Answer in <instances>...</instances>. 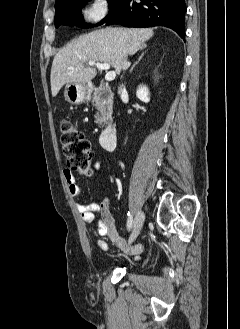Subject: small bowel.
Instances as JSON below:
<instances>
[{
  "label": "small bowel",
  "instance_id": "c3829d8e",
  "mask_svg": "<svg viewBox=\"0 0 240 329\" xmlns=\"http://www.w3.org/2000/svg\"><path fill=\"white\" fill-rule=\"evenodd\" d=\"M99 167V162H96L94 168L98 170ZM63 178L67 184L69 194L75 199H78L81 195L82 186L76 181L69 169L66 168L63 170ZM76 205L80 212L81 219L85 223L89 224L94 222L95 215L97 213L100 215V219L95 230L97 235L107 236L115 246L124 250L129 255L136 256V259L139 260V255L143 251V246L141 244L131 246L118 234L114 217L107 204H98L95 202L83 203L77 201ZM95 245L97 249L102 252H107L109 250L107 242L102 239L97 240Z\"/></svg>",
  "mask_w": 240,
  "mask_h": 329
}]
</instances>
